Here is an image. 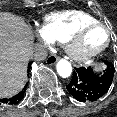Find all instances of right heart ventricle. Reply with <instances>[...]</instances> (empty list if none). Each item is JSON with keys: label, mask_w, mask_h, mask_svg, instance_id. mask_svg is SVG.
Masks as SVG:
<instances>
[{"label": "right heart ventricle", "mask_w": 117, "mask_h": 117, "mask_svg": "<svg viewBox=\"0 0 117 117\" xmlns=\"http://www.w3.org/2000/svg\"><path fill=\"white\" fill-rule=\"evenodd\" d=\"M96 21L97 18L87 12L68 10L47 15L42 27L51 39L66 42L80 27Z\"/></svg>", "instance_id": "1"}]
</instances>
